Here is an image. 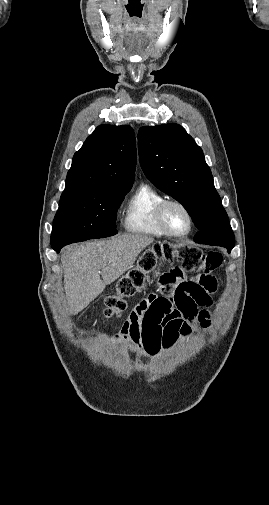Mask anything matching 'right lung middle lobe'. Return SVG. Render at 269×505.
Masks as SVG:
<instances>
[{"label":"right lung middle lobe","instance_id":"obj_1","mask_svg":"<svg viewBox=\"0 0 269 505\" xmlns=\"http://www.w3.org/2000/svg\"><path fill=\"white\" fill-rule=\"evenodd\" d=\"M128 191L64 190L53 221L52 246L115 235L116 212Z\"/></svg>","mask_w":269,"mask_h":505}]
</instances>
